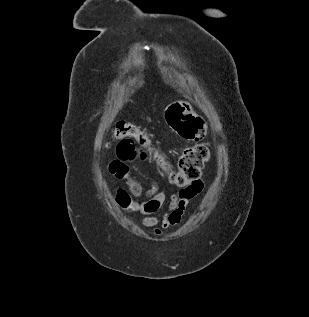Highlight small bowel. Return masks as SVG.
Here are the masks:
<instances>
[{
    "instance_id": "1",
    "label": "small bowel",
    "mask_w": 309,
    "mask_h": 317,
    "mask_svg": "<svg viewBox=\"0 0 309 317\" xmlns=\"http://www.w3.org/2000/svg\"><path fill=\"white\" fill-rule=\"evenodd\" d=\"M131 145L117 149V157L108 164V170L116 179L124 181L126 188L115 189V202L129 213L140 214V223L147 228L148 232L154 236H162L164 232L177 226L185 213L190 202L198 196L205 187L202 179L197 180L191 186L179 192L168 195L164 188L154 187L147 194L144 200L139 201L142 195L141 186L130 175ZM142 160L146 155L140 157ZM164 176L163 172L159 173ZM169 199V206L166 213L160 218L158 211L163 207L165 201Z\"/></svg>"
}]
</instances>
